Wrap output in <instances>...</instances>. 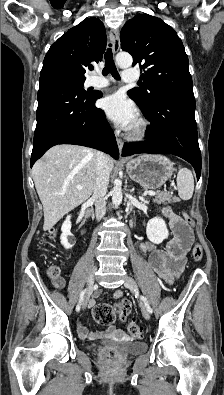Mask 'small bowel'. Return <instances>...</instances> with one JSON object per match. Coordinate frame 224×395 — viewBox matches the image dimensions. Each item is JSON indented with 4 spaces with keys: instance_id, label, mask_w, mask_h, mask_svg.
I'll use <instances>...</instances> for the list:
<instances>
[{
    "instance_id": "1",
    "label": "small bowel",
    "mask_w": 224,
    "mask_h": 395,
    "mask_svg": "<svg viewBox=\"0 0 224 395\" xmlns=\"http://www.w3.org/2000/svg\"><path fill=\"white\" fill-rule=\"evenodd\" d=\"M161 212L169 219L170 227L174 230L175 235L167 242L165 249H158L153 243L146 242L141 245V251L147 256L151 268L171 284L184 269L185 256L191 246L192 236L189 230L187 233L179 230V226L185 225L181 217L174 215L169 208H163ZM53 285L55 288L61 289L65 285V280L58 278L54 280ZM113 296L118 298L121 296V292L117 291ZM77 331L82 338L93 336L81 323L77 325Z\"/></svg>"
}]
</instances>
